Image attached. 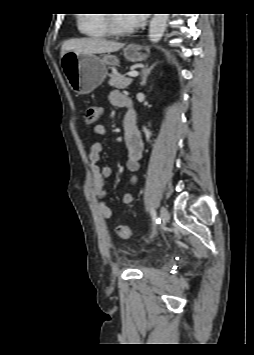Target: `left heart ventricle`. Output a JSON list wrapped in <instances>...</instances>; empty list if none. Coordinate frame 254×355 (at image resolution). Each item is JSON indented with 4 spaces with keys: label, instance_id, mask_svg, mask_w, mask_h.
Segmentation results:
<instances>
[{
    "label": "left heart ventricle",
    "instance_id": "b2bd125f",
    "mask_svg": "<svg viewBox=\"0 0 254 355\" xmlns=\"http://www.w3.org/2000/svg\"><path fill=\"white\" fill-rule=\"evenodd\" d=\"M115 17H116V23L118 27L122 29H129L132 27L124 15L115 14Z\"/></svg>",
    "mask_w": 254,
    "mask_h": 355
}]
</instances>
